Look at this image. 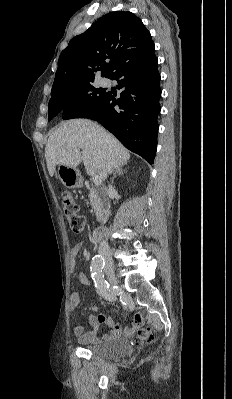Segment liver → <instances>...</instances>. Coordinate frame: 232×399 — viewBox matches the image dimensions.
I'll return each mask as SVG.
<instances>
[{
	"mask_svg": "<svg viewBox=\"0 0 232 399\" xmlns=\"http://www.w3.org/2000/svg\"><path fill=\"white\" fill-rule=\"evenodd\" d=\"M45 158L51 178L59 164L77 168L83 162L88 176L96 174L106 180L111 172L109 168H119L127 164L130 154L112 134H108L95 122L68 120L61 122L57 130L50 134Z\"/></svg>",
	"mask_w": 232,
	"mask_h": 399,
	"instance_id": "liver-1",
	"label": "liver"
}]
</instances>
